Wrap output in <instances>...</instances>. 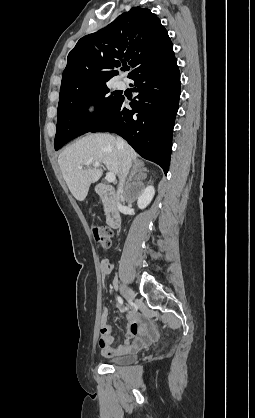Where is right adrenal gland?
Segmentation results:
<instances>
[{
    "label": "right adrenal gland",
    "mask_w": 255,
    "mask_h": 418,
    "mask_svg": "<svg viewBox=\"0 0 255 418\" xmlns=\"http://www.w3.org/2000/svg\"><path fill=\"white\" fill-rule=\"evenodd\" d=\"M146 172H147V169L144 168L142 165H135L133 167V171H132L127 183H129L132 180V178H134V177L136 178L138 174H141V179H145L146 178Z\"/></svg>",
    "instance_id": "right-adrenal-gland-1"
}]
</instances>
